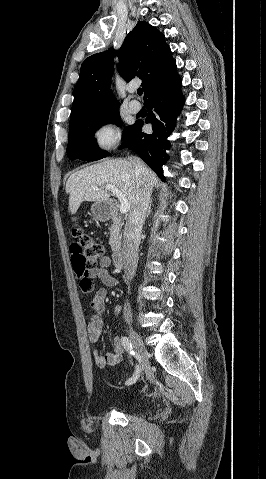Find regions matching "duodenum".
<instances>
[{
    "instance_id": "410a0bca",
    "label": "duodenum",
    "mask_w": 266,
    "mask_h": 479,
    "mask_svg": "<svg viewBox=\"0 0 266 479\" xmlns=\"http://www.w3.org/2000/svg\"><path fill=\"white\" fill-rule=\"evenodd\" d=\"M116 206V203L114 201L108 203V213L112 216L115 217V213L113 211V207ZM113 262L116 270H122L125 267V256L124 253L120 250H117L114 255H113Z\"/></svg>"
}]
</instances>
